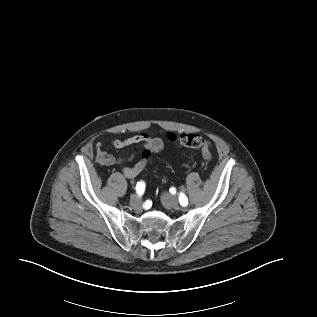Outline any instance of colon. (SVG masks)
<instances>
[{
	"mask_svg": "<svg viewBox=\"0 0 317 317\" xmlns=\"http://www.w3.org/2000/svg\"><path fill=\"white\" fill-rule=\"evenodd\" d=\"M168 139L171 142L178 143L179 145L188 148H199L203 145V139L197 133H182L179 135L169 134ZM152 152L153 151L150 148H146L141 154V159L147 162L151 157Z\"/></svg>",
	"mask_w": 317,
	"mask_h": 317,
	"instance_id": "obj_1",
	"label": "colon"
}]
</instances>
